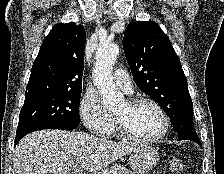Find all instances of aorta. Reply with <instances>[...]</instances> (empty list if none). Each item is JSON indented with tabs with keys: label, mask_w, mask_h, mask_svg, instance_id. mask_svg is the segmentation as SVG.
Wrapping results in <instances>:
<instances>
[{
	"label": "aorta",
	"mask_w": 224,
	"mask_h": 174,
	"mask_svg": "<svg viewBox=\"0 0 224 174\" xmlns=\"http://www.w3.org/2000/svg\"><path fill=\"white\" fill-rule=\"evenodd\" d=\"M118 55L119 48L112 43L100 44L96 52L93 81L102 97L104 106L108 109H112L124 101V96L116 87L112 75Z\"/></svg>",
	"instance_id": "aorta-1"
}]
</instances>
